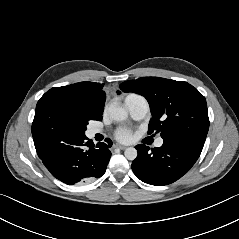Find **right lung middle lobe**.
<instances>
[{
    "label": "right lung middle lobe",
    "instance_id": "dd1d6c3e",
    "mask_svg": "<svg viewBox=\"0 0 239 239\" xmlns=\"http://www.w3.org/2000/svg\"><path fill=\"white\" fill-rule=\"evenodd\" d=\"M90 120H102V116L85 103L63 95H43L32 123L36 150L68 136L85 135Z\"/></svg>",
    "mask_w": 239,
    "mask_h": 239
}]
</instances>
